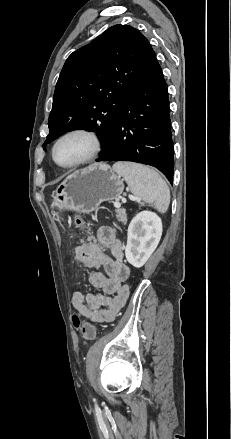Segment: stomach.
Segmentation results:
<instances>
[{
    "label": "stomach",
    "instance_id": "obj_1",
    "mask_svg": "<svg viewBox=\"0 0 231 439\" xmlns=\"http://www.w3.org/2000/svg\"><path fill=\"white\" fill-rule=\"evenodd\" d=\"M123 190L120 175L105 163H95L66 177L53 191L51 207L61 223L62 211L91 213L102 202L119 199Z\"/></svg>",
    "mask_w": 231,
    "mask_h": 439
}]
</instances>
